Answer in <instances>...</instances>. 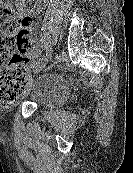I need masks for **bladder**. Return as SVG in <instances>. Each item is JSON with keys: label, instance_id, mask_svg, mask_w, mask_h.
<instances>
[{"label": "bladder", "instance_id": "obj_1", "mask_svg": "<svg viewBox=\"0 0 133 173\" xmlns=\"http://www.w3.org/2000/svg\"><path fill=\"white\" fill-rule=\"evenodd\" d=\"M24 98L42 109L53 111L68 98V86L58 74L44 73L30 82Z\"/></svg>", "mask_w": 133, "mask_h": 173}]
</instances>
